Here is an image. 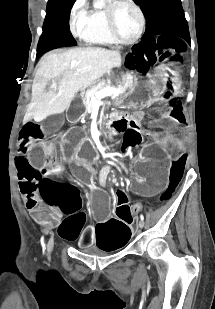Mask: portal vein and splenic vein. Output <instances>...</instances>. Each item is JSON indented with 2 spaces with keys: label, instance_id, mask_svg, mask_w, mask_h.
I'll use <instances>...</instances> for the list:
<instances>
[{
  "label": "portal vein and splenic vein",
  "instance_id": "obj_1",
  "mask_svg": "<svg viewBox=\"0 0 215 309\" xmlns=\"http://www.w3.org/2000/svg\"><path fill=\"white\" fill-rule=\"evenodd\" d=\"M122 90L120 88H115V86H107V88H102V90H97L95 96H110V94H120Z\"/></svg>",
  "mask_w": 215,
  "mask_h": 309
}]
</instances>
